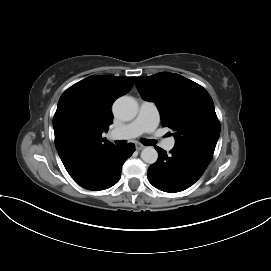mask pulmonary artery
Instances as JSON below:
<instances>
[{
	"label": "pulmonary artery",
	"instance_id": "pulmonary-artery-1",
	"mask_svg": "<svg viewBox=\"0 0 271 271\" xmlns=\"http://www.w3.org/2000/svg\"><path fill=\"white\" fill-rule=\"evenodd\" d=\"M160 120L159 111L152 102H142L137 117L122 129L112 132L115 138H134L143 133L153 132ZM175 145L174 138H167L162 141V147L171 150Z\"/></svg>",
	"mask_w": 271,
	"mask_h": 271
}]
</instances>
